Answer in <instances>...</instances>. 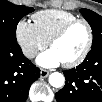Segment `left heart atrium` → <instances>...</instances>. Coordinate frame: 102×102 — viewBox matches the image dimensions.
<instances>
[{
  "mask_svg": "<svg viewBox=\"0 0 102 102\" xmlns=\"http://www.w3.org/2000/svg\"><path fill=\"white\" fill-rule=\"evenodd\" d=\"M36 62L44 68H53L62 64L61 59L51 49L39 54L36 58Z\"/></svg>",
  "mask_w": 102,
  "mask_h": 102,
  "instance_id": "left-heart-atrium-1",
  "label": "left heart atrium"
}]
</instances>
